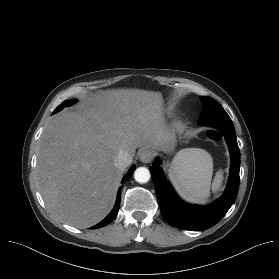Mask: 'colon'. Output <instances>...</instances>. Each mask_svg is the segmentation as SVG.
Listing matches in <instances>:
<instances>
[{"label":"colon","mask_w":279,"mask_h":279,"mask_svg":"<svg viewBox=\"0 0 279 279\" xmlns=\"http://www.w3.org/2000/svg\"><path fill=\"white\" fill-rule=\"evenodd\" d=\"M212 138H214V139H219V134L213 133V134H212Z\"/></svg>","instance_id":"obj_1"}]
</instances>
